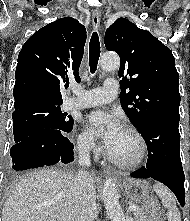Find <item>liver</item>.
<instances>
[{
	"mask_svg": "<svg viewBox=\"0 0 190 221\" xmlns=\"http://www.w3.org/2000/svg\"><path fill=\"white\" fill-rule=\"evenodd\" d=\"M74 179L69 172L46 169L20 177L10 187L2 221H74Z\"/></svg>",
	"mask_w": 190,
	"mask_h": 221,
	"instance_id": "obj_1",
	"label": "liver"
}]
</instances>
